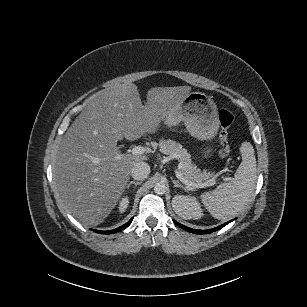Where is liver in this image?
I'll list each match as a JSON object with an SVG mask.
<instances>
[{
  "instance_id": "liver-1",
  "label": "liver",
  "mask_w": 307,
  "mask_h": 307,
  "mask_svg": "<svg viewBox=\"0 0 307 307\" xmlns=\"http://www.w3.org/2000/svg\"><path fill=\"white\" fill-rule=\"evenodd\" d=\"M190 86L153 87L143 105L138 87L123 83L98 91L65 133L53 164L55 197L84 225L96 226L115 208L135 163L117 142L154 134L167 114L179 111Z\"/></svg>"
}]
</instances>
